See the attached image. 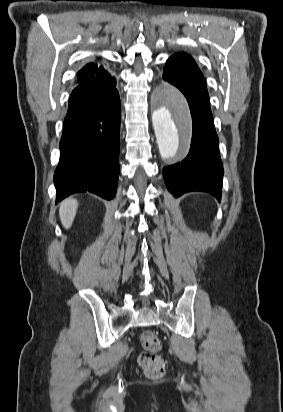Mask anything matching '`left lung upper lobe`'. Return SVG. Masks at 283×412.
Wrapping results in <instances>:
<instances>
[{
  "mask_svg": "<svg viewBox=\"0 0 283 412\" xmlns=\"http://www.w3.org/2000/svg\"><path fill=\"white\" fill-rule=\"evenodd\" d=\"M178 74L197 76L205 80L193 59L185 53H177L170 57L163 71V76H176Z\"/></svg>",
  "mask_w": 283,
  "mask_h": 412,
  "instance_id": "5c2ea615",
  "label": "left lung upper lobe"
}]
</instances>
